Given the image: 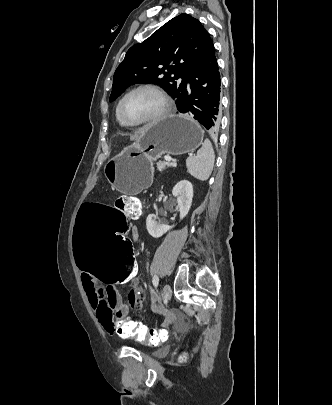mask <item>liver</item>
<instances>
[{
  "label": "liver",
  "mask_w": 332,
  "mask_h": 405,
  "mask_svg": "<svg viewBox=\"0 0 332 405\" xmlns=\"http://www.w3.org/2000/svg\"><path fill=\"white\" fill-rule=\"evenodd\" d=\"M147 129H148V126H145V127H143L142 129L138 130V131L134 134V136L132 137V139L137 140L141 135H143V134L146 132Z\"/></svg>",
  "instance_id": "obj_1"
}]
</instances>
